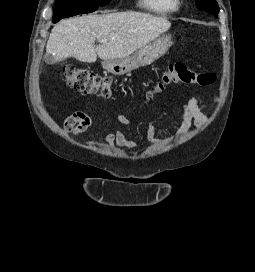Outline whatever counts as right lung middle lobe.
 Returning <instances> with one entry per match:
<instances>
[{
    "mask_svg": "<svg viewBox=\"0 0 255 272\" xmlns=\"http://www.w3.org/2000/svg\"><path fill=\"white\" fill-rule=\"evenodd\" d=\"M110 1L111 0H57L52 21L56 23L62 18L94 12L99 6H105Z\"/></svg>",
    "mask_w": 255,
    "mask_h": 272,
    "instance_id": "dd1d6c3e",
    "label": "right lung middle lobe"
}]
</instances>
